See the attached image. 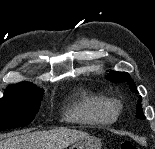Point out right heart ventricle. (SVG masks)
<instances>
[{
  "mask_svg": "<svg viewBox=\"0 0 155 149\" xmlns=\"http://www.w3.org/2000/svg\"><path fill=\"white\" fill-rule=\"evenodd\" d=\"M65 120L81 125L107 126L116 116L106 108V98L87 89H80L72 104L66 109Z\"/></svg>",
  "mask_w": 155,
  "mask_h": 149,
  "instance_id": "right-heart-ventricle-1",
  "label": "right heart ventricle"
}]
</instances>
